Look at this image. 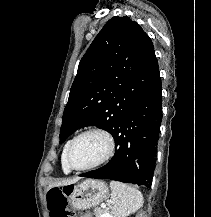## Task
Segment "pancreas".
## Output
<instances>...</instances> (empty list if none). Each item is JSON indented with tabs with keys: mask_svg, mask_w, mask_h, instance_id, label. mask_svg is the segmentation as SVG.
Segmentation results:
<instances>
[{
	"mask_svg": "<svg viewBox=\"0 0 211 217\" xmlns=\"http://www.w3.org/2000/svg\"><path fill=\"white\" fill-rule=\"evenodd\" d=\"M94 212H95L96 217H101L102 214L106 212V210L96 207Z\"/></svg>",
	"mask_w": 211,
	"mask_h": 217,
	"instance_id": "cf45deb5",
	"label": "pancreas"
}]
</instances>
